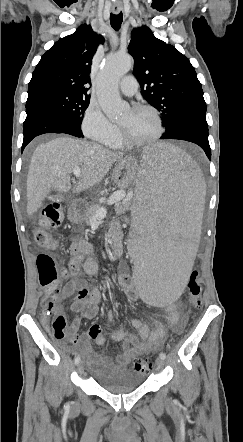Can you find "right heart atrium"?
<instances>
[{
	"label": "right heart atrium",
	"instance_id": "d8ad5b80",
	"mask_svg": "<svg viewBox=\"0 0 243 442\" xmlns=\"http://www.w3.org/2000/svg\"><path fill=\"white\" fill-rule=\"evenodd\" d=\"M81 129L90 140L106 143L117 132V127L112 124L97 103H90L85 110Z\"/></svg>",
	"mask_w": 243,
	"mask_h": 442
}]
</instances>
